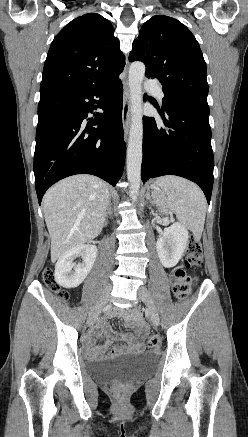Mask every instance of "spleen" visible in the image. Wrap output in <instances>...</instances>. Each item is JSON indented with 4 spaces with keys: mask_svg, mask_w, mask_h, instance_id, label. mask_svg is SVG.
Masks as SVG:
<instances>
[{
    "mask_svg": "<svg viewBox=\"0 0 248 437\" xmlns=\"http://www.w3.org/2000/svg\"><path fill=\"white\" fill-rule=\"evenodd\" d=\"M155 184L162 193L153 197L154 202L176 213L179 222L199 240L206 216V199L201 189L189 180L171 175L159 177Z\"/></svg>",
    "mask_w": 248,
    "mask_h": 437,
    "instance_id": "spleen-1",
    "label": "spleen"
}]
</instances>
